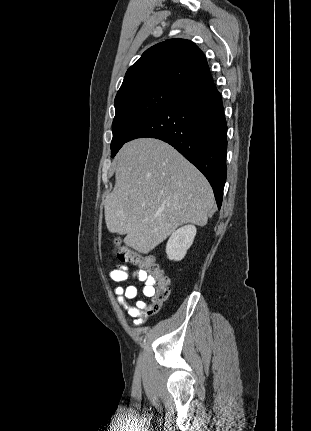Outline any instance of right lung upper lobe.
<instances>
[{"mask_svg":"<svg viewBox=\"0 0 311 431\" xmlns=\"http://www.w3.org/2000/svg\"><path fill=\"white\" fill-rule=\"evenodd\" d=\"M213 82L203 52L185 39H169L146 50L126 72L117 96L144 88L182 95Z\"/></svg>","mask_w":311,"mask_h":431,"instance_id":"cb5924a9","label":"right lung upper lobe"}]
</instances>
